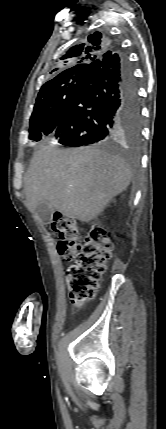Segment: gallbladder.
<instances>
[{
	"instance_id": "gallbladder-1",
	"label": "gallbladder",
	"mask_w": 166,
	"mask_h": 429,
	"mask_svg": "<svg viewBox=\"0 0 166 429\" xmlns=\"http://www.w3.org/2000/svg\"><path fill=\"white\" fill-rule=\"evenodd\" d=\"M52 211L53 209L50 208L46 203H41L35 208L36 214L44 224H48L50 222Z\"/></svg>"
}]
</instances>
